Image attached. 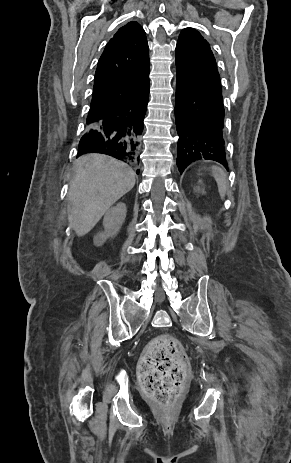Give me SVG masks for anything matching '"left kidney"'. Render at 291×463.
Returning <instances> with one entry per match:
<instances>
[{
    "label": "left kidney",
    "instance_id": "left-kidney-1",
    "mask_svg": "<svg viewBox=\"0 0 291 463\" xmlns=\"http://www.w3.org/2000/svg\"><path fill=\"white\" fill-rule=\"evenodd\" d=\"M196 190H197L198 192H201L202 194H204V193H205V190H204V189H201L200 187H197V189H196Z\"/></svg>",
    "mask_w": 291,
    "mask_h": 463
}]
</instances>
